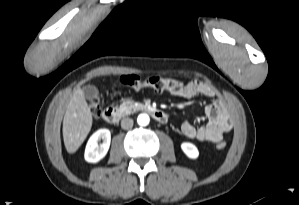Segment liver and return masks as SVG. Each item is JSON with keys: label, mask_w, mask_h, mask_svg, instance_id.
Instances as JSON below:
<instances>
[{"label": "liver", "mask_w": 299, "mask_h": 205, "mask_svg": "<svg viewBox=\"0 0 299 205\" xmlns=\"http://www.w3.org/2000/svg\"><path fill=\"white\" fill-rule=\"evenodd\" d=\"M92 121L84 93L77 88L68 102L63 119V140L68 153L78 150L91 130Z\"/></svg>", "instance_id": "1"}]
</instances>
